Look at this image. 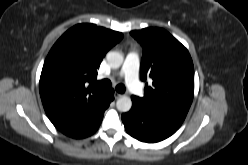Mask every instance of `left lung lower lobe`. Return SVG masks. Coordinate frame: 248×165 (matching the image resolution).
<instances>
[{"instance_id":"0a47b994","label":"left lung lower lobe","mask_w":248,"mask_h":165,"mask_svg":"<svg viewBox=\"0 0 248 165\" xmlns=\"http://www.w3.org/2000/svg\"><path fill=\"white\" fill-rule=\"evenodd\" d=\"M122 121L128 134L148 143L162 141L181 126L176 120L157 111L149 110L132 99V108L122 114Z\"/></svg>"}]
</instances>
